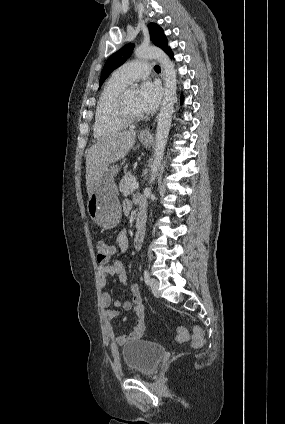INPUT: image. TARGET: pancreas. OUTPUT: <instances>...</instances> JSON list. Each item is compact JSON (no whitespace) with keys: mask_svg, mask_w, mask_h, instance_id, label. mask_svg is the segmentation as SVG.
<instances>
[{"mask_svg":"<svg viewBox=\"0 0 285 424\" xmlns=\"http://www.w3.org/2000/svg\"><path fill=\"white\" fill-rule=\"evenodd\" d=\"M135 183V177L131 173H126L120 181L119 190L124 195H130L133 192L131 188L132 184Z\"/></svg>","mask_w":285,"mask_h":424,"instance_id":"pancreas-1","label":"pancreas"}]
</instances>
